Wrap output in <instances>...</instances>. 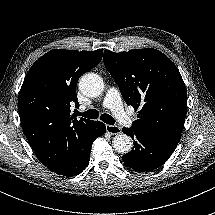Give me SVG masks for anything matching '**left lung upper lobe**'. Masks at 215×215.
Listing matches in <instances>:
<instances>
[{
    "instance_id": "obj_1",
    "label": "left lung upper lobe",
    "mask_w": 215,
    "mask_h": 215,
    "mask_svg": "<svg viewBox=\"0 0 215 215\" xmlns=\"http://www.w3.org/2000/svg\"><path fill=\"white\" fill-rule=\"evenodd\" d=\"M104 64L127 105L138 110L131 129L181 135L187 113V90L174 63L162 52L137 49L104 51Z\"/></svg>"
}]
</instances>
